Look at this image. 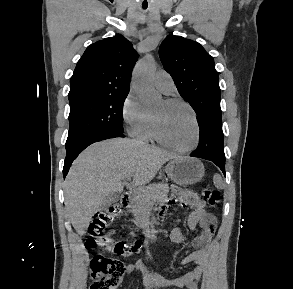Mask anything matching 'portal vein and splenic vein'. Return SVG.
<instances>
[{"label":"portal vein and splenic vein","mask_w":293,"mask_h":289,"mask_svg":"<svg viewBox=\"0 0 293 289\" xmlns=\"http://www.w3.org/2000/svg\"><path fill=\"white\" fill-rule=\"evenodd\" d=\"M131 178L132 177H129L127 180L128 181H131ZM133 188H134V192L145 191V188H139V187H136V186L133 187Z\"/></svg>","instance_id":"18ae733b"}]
</instances>
